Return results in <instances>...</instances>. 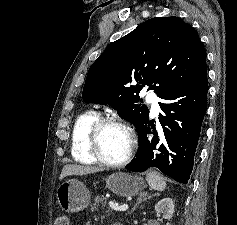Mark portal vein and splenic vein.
Listing matches in <instances>:
<instances>
[{
    "label": "portal vein and splenic vein",
    "mask_w": 237,
    "mask_h": 225,
    "mask_svg": "<svg viewBox=\"0 0 237 225\" xmlns=\"http://www.w3.org/2000/svg\"><path fill=\"white\" fill-rule=\"evenodd\" d=\"M109 206L115 211H122L123 212V211L128 210V205H126V204L119 205V204L114 203L112 201L109 202Z\"/></svg>",
    "instance_id": "1"
}]
</instances>
